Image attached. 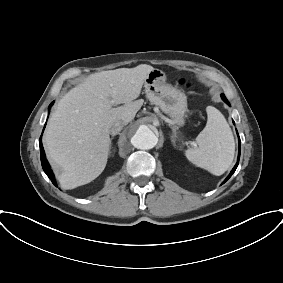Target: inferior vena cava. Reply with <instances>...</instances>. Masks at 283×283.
I'll return each instance as SVG.
<instances>
[{
    "label": "inferior vena cava",
    "mask_w": 283,
    "mask_h": 283,
    "mask_svg": "<svg viewBox=\"0 0 283 283\" xmlns=\"http://www.w3.org/2000/svg\"><path fill=\"white\" fill-rule=\"evenodd\" d=\"M125 123L123 121H116L113 123L110 127L109 133L111 135H116L118 134L124 127Z\"/></svg>",
    "instance_id": "obj_1"
}]
</instances>
